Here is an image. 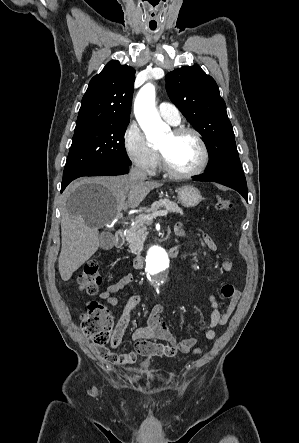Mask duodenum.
Segmentation results:
<instances>
[{
  "label": "duodenum",
  "mask_w": 299,
  "mask_h": 443,
  "mask_svg": "<svg viewBox=\"0 0 299 443\" xmlns=\"http://www.w3.org/2000/svg\"><path fill=\"white\" fill-rule=\"evenodd\" d=\"M123 243H124V229L119 228L115 233L114 245H115V247L119 248V247H122ZM179 252H180V248L178 245L172 246L168 250V256L171 258H175L179 255ZM132 265L135 269H142L144 266V258L141 255H136L133 258Z\"/></svg>",
  "instance_id": "410a0bca"
}]
</instances>
